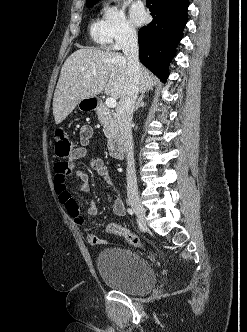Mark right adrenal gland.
Masks as SVG:
<instances>
[{"label":"right adrenal gland","mask_w":247,"mask_h":332,"mask_svg":"<svg viewBox=\"0 0 247 332\" xmlns=\"http://www.w3.org/2000/svg\"><path fill=\"white\" fill-rule=\"evenodd\" d=\"M145 98V95H140L135 103V106H134V112L138 110V108L140 107H144L146 106V103L143 102V99Z\"/></svg>","instance_id":"1"}]
</instances>
